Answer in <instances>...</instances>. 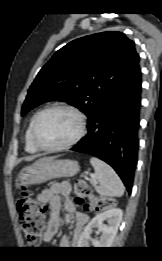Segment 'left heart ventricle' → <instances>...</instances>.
Listing matches in <instances>:
<instances>
[{"label":"left heart ventricle","instance_id":"left-heart-ventricle-1","mask_svg":"<svg viewBox=\"0 0 162 261\" xmlns=\"http://www.w3.org/2000/svg\"><path fill=\"white\" fill-rule=\"evenodd\" d=\"M78 130L77 118L66 110L46 113L38 126V139L45 146H57L69 141Z\"/></svg>","mask_w":162,"mask_h":261}]
</instances>
